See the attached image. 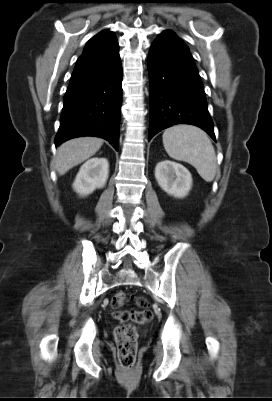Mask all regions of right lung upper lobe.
I'll return each instance as SVG.
<instances>
[{
    "label": "right lung upper lobe",
    "mask_w": 272,
    "mask_h": 401,
    "mask_svg": "<svg viewBox=\"0 0 272 401\" xmlns=\"http://www.w3.org/2000/svg\"><path fill=\"white\" fill-rule=\"evenodd\" d=\"M117 44V39L112 32L101 31L88 41L82 55L77 60L75 69L100 58Z\"/></svg>",
    "instance_id": "1"
}]
</instances>
